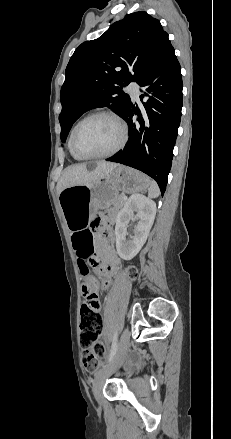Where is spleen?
<instances>
[{
  "mask_svg": "<svg viewBox=\"0 0 231 439\" xmlns=\"http://www.w3.org/2000/svg\"><path fill=\"white\" fill-rule=\"evenodd\" d=\"M159 187L157 183L153 180L150 181V185L148 188V196L149 198H157L159 196Z\"/></svg>",
  "mask_w": 231,
  "mask_h": 439,
  "instance_id": "3e777b00",
  "label": "spleen"
}]
</instances>
